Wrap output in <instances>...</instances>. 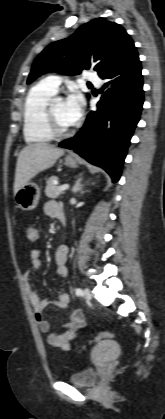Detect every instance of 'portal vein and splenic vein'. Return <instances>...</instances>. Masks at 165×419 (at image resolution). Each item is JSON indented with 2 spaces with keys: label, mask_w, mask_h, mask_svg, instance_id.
<instances>
[{
  "label": "portal vein and splenic vein",
  "mask_w": 165,
  "mask_h": 419,
  "mask_svg": "<svg viewBox=\"0 0 165 419\" xmlns=\"http://www.w3.org/2000/svg\"><path fill=\"white\" fill-rule=\"evenodd\" d=\"M69 188V185L68 184H63V185H61L60 187H59V190L60 191H65V190H67Z\"/></svg>",
  "instance_id": "18ae733b"
}]
</instances>
